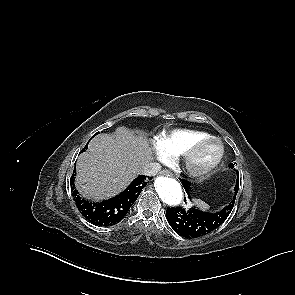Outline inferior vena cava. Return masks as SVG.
Returning a JSON list of instances; mask_svg holds the SVG:
<instances>
[{"mask_svg":"<svg viewBox=\"0 0 295 295\" xmlns=\"http://www.w3.org/2000/svg\"><path fill=\"white\" fill-rule=\"evenodd\" d=\"M161 170V165L156 162L146 164L140 169V174L146 176H155Z\"/></svg>","mask_w":295,"mask_h":295,"instance_id":"602c4592","label":"inferior vena cava"}]
</instances>
